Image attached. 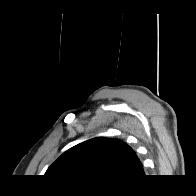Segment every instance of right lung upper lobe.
Wrapping results in <instances>:
<instances>
[{"label":"right lung upper lobe","instance_id":"cb5924a9","mask_svg":"<svg viewBox=\"0 0 196 196\" xmlns=\"http://www.w3.org/2000/svg\"><path fill=\"white\" fill-rule=\"evenodd\" d=\"M45 176L61 182L88 185H119L144 176L133 149L115 138L96 137L63 153Z\"/></svg>","mask_w":196,"mask_h":196}]
</instances>
